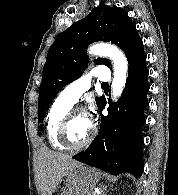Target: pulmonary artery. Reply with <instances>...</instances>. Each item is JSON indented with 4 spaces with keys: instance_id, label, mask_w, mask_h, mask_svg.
Returning a JSON list of instances; mask_svg holds the SVG:
<instances>
[{
    "instance_id": "e3ab8cb5",
    "label": "pulmonary artery",
    "mask_w": 178,
    "mask_h": 195,
    "mask_svg": "<svg viewBox=\"0 0 178 195\" xmlns=\"http://www.w3.org/2000/svg\"><path fill=\"white\" fill-rule=\"evenodd\" d=\"M96 78L103 84H107L110 80V73L107 66H96L91 72H88L68 84L61 92V96L71 104H75L82 94L86 92L90 86L92 79Z\"/></svg>"
}]
</instances>
